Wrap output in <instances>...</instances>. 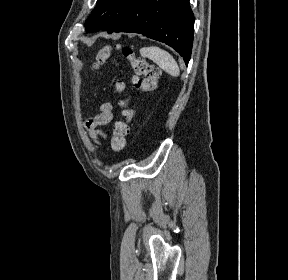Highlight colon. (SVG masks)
Here are the masks:
<instances>
[{"mask_svg": "<svg viewBox=\"0 0 288 280\" xmlns=\"http://www.w3.org/2000/svg\"><path fill=\"white\" fill-rule=\"evenodd\" d=\"M115 47V46H114ZM113 47L104 46L96 54L94 65L99 67L103 65L111 55ZM116 49L121 50L123 56L127 58L134 70V75L130 77L132 84L141 92L153 91L160 77V69L149 63L143 58L135 56L134 51L128 46H116ZM125 79H119L115 83V89L118 93L125 90ZM122 108L123 120L117 121L114 124L113 136L111 138V148L116 152H121L126 146V135L128 133L129 122L131 121L134 112L129 107V99L122 98L119 101Z\"/></svg>", "mask_w": 288, "mask_h": 280, "instance_id": "colon-1", "label": "colon"}]
</instances>
